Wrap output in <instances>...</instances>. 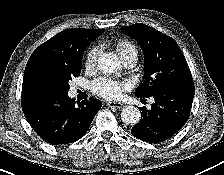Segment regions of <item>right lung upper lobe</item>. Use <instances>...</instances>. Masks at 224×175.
<instances>
[{
	"mask_svg": "<svg viewBox=\"0 0 224 175\" xmlns=\"http://www.w3.org/2000/svg\"><path fill=\"white\" fill-rule=\"evenodd\" d=\"M104 30L75 28L58 33L36 48L24 71L22 92L30 90L32 72L40 65L61 62L83 55L86 47Z\"/></svg>",
	"mask_w": 224,
	"mask_h": 175,
	"instance_id": "obj_1",
	"label": "right lung upper lobe"
}]
</instances>
